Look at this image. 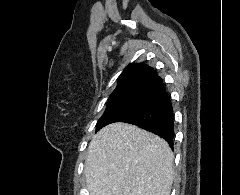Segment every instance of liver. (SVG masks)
<instances>
[{
	"mask_svg": "<svg viewBox=\"0 0 240 195\" xmlns=\"http://www.w3.org/2000/svg\"><path fill=\"white\" fill-rule=\"evenodd\" d=\"M174 155L151 131L110 123L93 135L85 159L89 195H170Z\"/></svg>",
	"mask_w": 240,
	"mask_h": 195,
	"instance_id": "liver-1",
	"label": "liver"
}]
</instances>
